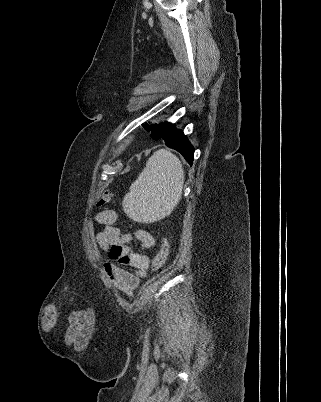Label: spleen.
Returning a JSON list of instances; mask_svg holds the SVG:
<instances>
[{
    "label": "spleen",
    "instance_id": "1",
    "mask_svg": "<svg viewBox=\"0 0 321 402\" xmlns=\"http://www.w3.org/2000/svg\"><path fill=\"white\" fill-rule=\"evenodd\" d=\"M184 185L181 161L173 153L159 149L129 188L122 206L136 222L151 223L164 218L179 203Z\"/></svg>",
    "mask_w": 321,
    "mask_h": 402
}]
</instances>
